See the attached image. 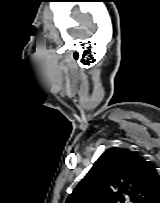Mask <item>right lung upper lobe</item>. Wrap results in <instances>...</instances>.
<instances>
[{"label": "right lung upper lobe", "instance_id": "right-lung-upper-lobe-1", "mask_svg": "<svg viewBox=\"0 0 160 203\" xmlns=\"http://www.w3.org/2000/svg\"><path fill=\"white\" fill-rule=\"evenodd\" d=\"M160 195V175L128 149H108L93 164L66 203H151Z\"/></svg>", "mask_w": 160, "mask_h": 203}]
</instances>
